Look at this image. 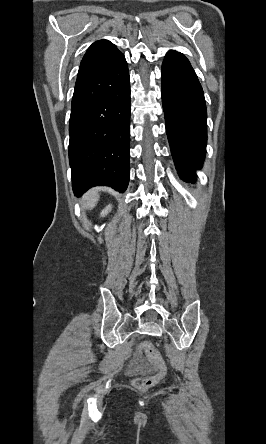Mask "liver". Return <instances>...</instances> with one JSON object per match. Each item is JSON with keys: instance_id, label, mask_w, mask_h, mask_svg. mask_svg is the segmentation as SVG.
I'll return each mask as SVG.
<instances>
[{"instance_id": "6515ba94", "label": "liver", "mask_w": 266, "mask_h": 444, "mask_svg": "<svg viewBox=\"0 0 266 444\" xmlns=\"http://www.w3.org/2000/svg\"><path fill=\"white\" fill-rule=\"evenodd\" d=\"M99 200V195L97 190H91L85 194L83 199V206L87 209H93Z\"/></svg>"}]
</instances>
